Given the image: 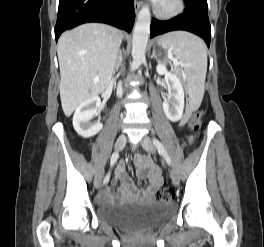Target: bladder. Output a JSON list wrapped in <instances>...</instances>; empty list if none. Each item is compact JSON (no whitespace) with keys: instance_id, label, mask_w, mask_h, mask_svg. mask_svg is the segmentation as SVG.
Instances as JSON below:
<instances>
[{"instance_id":"1","label":"bladder","mask_w":264,"mask_h":247,"mask_svg":"<svg viewBox=\"0 0 264 247\" xmlns=\"http://www.w3.org/2000/svg\"><path fill=\"white\" fill-rule=\"evenodd\" d=\"M174 204L155 201L148 204L124 203L97 207L100 221L133 233H144L158 228L174 214Z\"/></svg>"}]
</instances>
